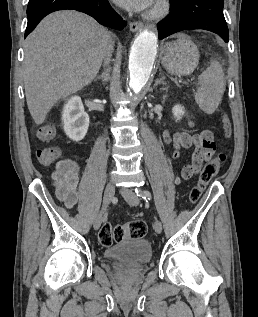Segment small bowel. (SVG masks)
Instances as JSON below:
<instances>
[{"mask_svg":"<svg viewBox=\"0 0 258 317\" xmlns=\"http://www.w3.org/2000/svg\"><path fill=\"white\" fill-rule=\"evenodd\" d=\"M189 126H193L189 122ZM55 135V128L52 124L40 127L37 137L42 142H49ZM163 141L173 148L172 157L179 158L181 150L193 149L190 163L181 169V176L175 178L179 184L182 179H189L201 170L203 164L211 160L215 154L216 144L212 131L206 129L199 133L189 134L187 132H176L171 134L164 130ZM80 170L78 164L71 159H62L56 163L53 172V185L55 193L60 201L67 208H73L79 197Z\"/></svg>","mask_w":258,"mask_h":317,"instance_id":"small-bowel-1","label":"small bowel"}]
</instances>
